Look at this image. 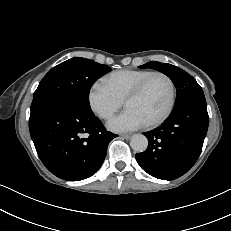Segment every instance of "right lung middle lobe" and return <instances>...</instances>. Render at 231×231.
I'll return each instance as SVG.
<instances>
[{"mask_svg":"<svg viewBox=\"0 0 231 231\" xmlns=\"http://www.w3.org/2000/svg\"><path fill=\"white\" fill-rule=\"evenodd\" d=\"M110 71L107 65L80 57L55 66L39 83L33 96L30 116L60 99H71L90 108L89 91L92 85Z\"/></svg>","mask_w":231,"mask_h":231,"instance_id":"right-lung-middle-lobe-1","label":"right lung middle lobe"}]
</instances>
